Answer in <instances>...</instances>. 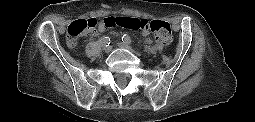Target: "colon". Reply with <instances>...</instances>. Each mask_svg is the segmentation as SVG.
Instances as JSON below:
<instances>
[{
  "instance_id": "colon-1",
  "label": "colon",
  "mask_w": 255,
  "mask_h": 122,
  "mask_svg": "<svg viewBox=\"0 0 255 122\" xmlns=\"http://www.w3.org/2000/svg\"><path fill=\"white\" fill-rule=\"evenodd\" d=\"M109 27L119 26L129 30H143L152 33L161 44L168 45L172 39L169 23L162 20H147L143 18L116 16L106 18ZM97 20L94 18L73 21L67 28V39L70 45H75L79 37L95 32Z\"/></svg>"
}]
</instances>
